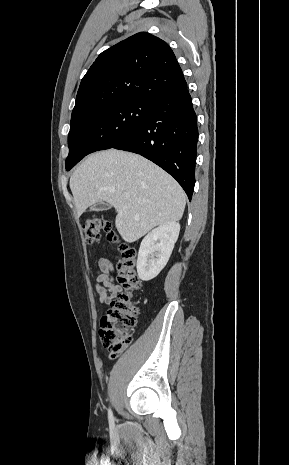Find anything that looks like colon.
<instances>
[{
  "label": "colon",
  "mask_w": 289,
  "mask_h": 465,
  "mask_svg": "<svg viewBox=\"0 0 289 465\" xmlns=\"http://www.w3.org/2000/svg\"><path fill=\"white\" fill-rule=\"evenodd\" d=\"M107 233L112 242H119L116 232L109 221L94 216L82 227L83 240L86 245H93L100 238V233ZM118 281L124 289L110 302L109 308L100 319V338L111 358H117L130 344L132 331L137 323L138 308L133 300V292L139 289L140 281L136 274V250L119 243Z\"/></svg>",
  "instance_id": "colon-1"
}]
</instances>
